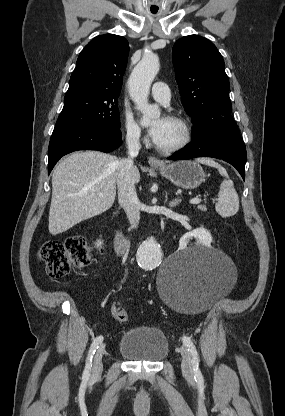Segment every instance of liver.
Instances as JSON below:
<instances>
[{
  "label": "liver",
  "mask_w": 285,
  "mask_h": 416,
  "mask_svg": "<svg viewBox=\"0 0 285 416\" xmlns=\"http://www.w3.org/2000/svg\"><path fill=\"white\" fill-rule=\"evenodd\" d=\"M118 162L116 156L102 152H73L60 162L52 176L48 224L52 236L100 216L113 206ZM131 174L134 184H138L140 174L136 166Z\"/></svg>",
  "instance_id": "6515ba94"
}]
</instances>
